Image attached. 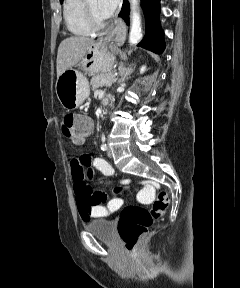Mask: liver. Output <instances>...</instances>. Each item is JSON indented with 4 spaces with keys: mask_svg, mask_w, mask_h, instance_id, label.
<instances>
[{
    "mask_svg": "<svg viewBox=\"0 0 240 288\" xmlns=\"http://www.w3.org/2000/svg\"><path fill=\"white\" fill-rule=\"evenodd\" d=\"M95 41L89 37L72 36L64 39L57 53V78L60 75L77 65L84 57L87 49Z\"/></svg>",
    "mask_w": 240,
    "mask_h": 288,
    "instance_id": "liver-1",
    "label": "liver"
}]
</instances>
